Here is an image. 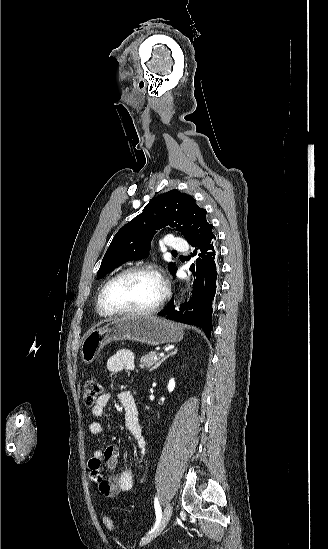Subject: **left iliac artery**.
Listing matches in <instances>:
<instances>
[{"instance_id":"44dca946","label":"left iliac artery","mask_w":328,"mask_h":549,"mask_svg":"<svg viewBox=\"0 0 328 549\" xmlns=\"http://www.w3.org/2000/svg\"><path fill=\"white\" fill-rule=\"evenodd\" d=\"M154 506H155V512H156V523H155L154 528L151 529V531H149V534L154 532V530L157 528L158 524L160 523V520H161V517H162V511H161V507H160V504H159V501H158L157 497H155Z\"/></svg>"}]
</instances>
